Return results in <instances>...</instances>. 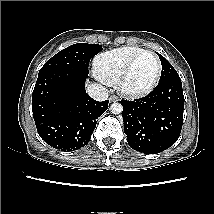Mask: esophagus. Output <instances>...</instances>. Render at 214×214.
<instances>
[{"label":"esophagus","mask_w":214,"mask_h":214,"mask_svg":"<svg viewBox=\"0 0 214 214\" xmlns=\"http://www.w3.org/2000/svg\"><path fill=\"white\" fill-rule=\"evenodd\" d=\"M109 100H110V102H117V101H119V98L115 95H112V96H110Z\"/></svg>","instance_id":"34e87169"}]
</instances>
